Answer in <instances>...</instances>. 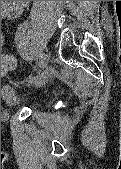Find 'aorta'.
Returning <instances> with one entry per match:
<instances>
[{
	"mask_svg": "<svg viewBox=\"0 0 121 169\" xmlns=\"http://www.w3.org/2000/svg\"><path fill=\"white\" fill-rule=\"evenodd\" d=\"M28 1H1V6L2 4L5 5L6 7L11 5L14 9L12 10H18L19 8H22L23 6H25L27 4ZM18 8V9H15Z\"/></svg>",
	"mask_w": 121,
	"mask_h": 169,
	"instance_id": "1",
	"label": "aorta"
}]
</instances>
